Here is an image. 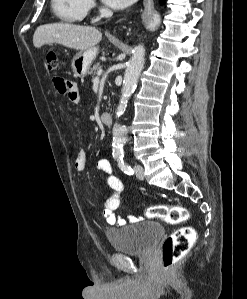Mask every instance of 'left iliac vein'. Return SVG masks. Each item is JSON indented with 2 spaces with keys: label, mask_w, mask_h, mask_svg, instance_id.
<instances>
[{
  "label": "left iliac vein",
  "mask_w": 247,
  "mask_h": 299,
  "mask_svg": "<svg viewBox=\"0 0 247 299\" xmlns=\"http://www.w3.org/2000/svg\"><path fill=\"white\" fill-rule=\"evenodd\" d=\"M134 171L136 176L140 179L143 180L144 179V168L141 165H135L134 166Z\"/></svg>",
  "instance_id": "obj_1"
}]
</instances>
